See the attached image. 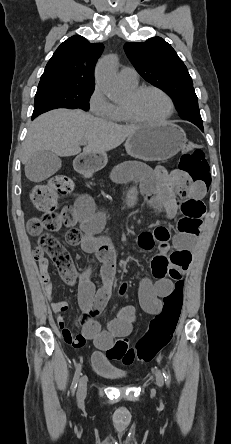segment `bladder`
<instances>
[{
	"mask_svg": "<svg viewBox=\"0 0 231 444\" xmlns=\"http://www.w3.org/2000/svg\"><path fill=\"white\" fill-rule=\"evenodd\" d=\"M92 363L95 373L98 376L108 379H119L125 376V373L117 369L111 360L100 352L93 354Z\"/></svg>",
	"mask_w": 231,
	"mask_h": 444,
	"instance_id": "1",
	"label": "bladder"
}]
</instances>
